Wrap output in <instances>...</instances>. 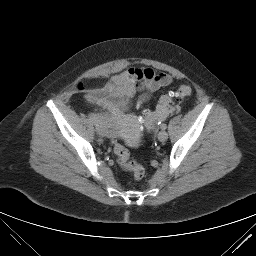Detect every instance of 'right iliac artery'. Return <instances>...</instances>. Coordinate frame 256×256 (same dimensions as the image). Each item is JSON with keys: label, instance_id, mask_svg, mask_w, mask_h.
I'll list each match as a JSON object with an SVG mask.
<instances>
[{"label": "right iliac artery", "instance_id": "82829eb1", "mask_svg": "<svg viewBox=\"0 0 256 256\" xmlns=\"http://www.w3.org/2000/svg\"><path fill=\"white\" fill-rule=\"evenodd\" d=\"M89 118L93 122L94 125L98 126V118H97V116L95 114L90 113L89 114Z\"/></svg>", "mask_w": 256, "mask_h": 256}]
</instances>
